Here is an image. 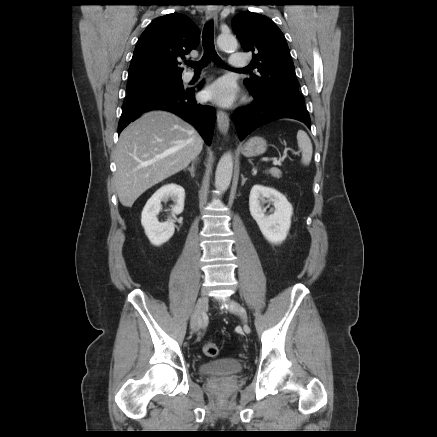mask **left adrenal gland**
<instances>
[{
    "mask_svg": "<svg viewBox=\"0 0 437 437\" xmlns=\"http://www.w3.org/2000/svg\"><path fill=\"white\" fill-rule=\"evenodd\" d=\"M242 178V182H241V186H243L247 180V178H245L243 175H241Z\"/></svg>",
    "mask_w": 437,
    "mask_h": 437,
    "instance_id": "1",
    "label": "left adrenal gland"
}]
</instances>
